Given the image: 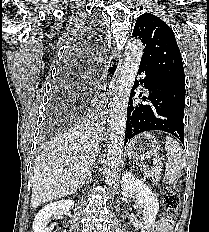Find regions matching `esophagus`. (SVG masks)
I'll list each match as a JSON object with an SVG mask.
<instances>
[{
	"mask_svg": "<svg viewBox=\"0 0 209 232\" xmlns=\"http://www.w3.org/2000/svg\"><path fill=\"white\" fill-rule=\"evenodd\" d=\"M121 64H122L121 54L116 51L113 52L110 58L109 65L106 70L107 81L104 86L106 93L103 95L102 101L100 103L102 114L108 113L109 97L111 95V91L114 89V82L117 78V74L120 70Z\"/></svg>",
	"mask_w": 209,
	"mask_h": 232,
	"instance_id": "1",
	"label": "esophagus"
}]
</instances>
